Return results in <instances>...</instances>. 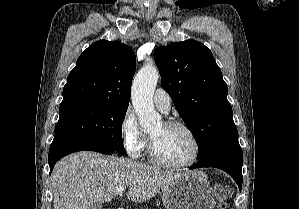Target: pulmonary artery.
<instances>
[{
  "mask_svg": "<svg viewBox=\"0 0 299 209\" xmlns=\"http://www.w3.org/2000/svg\"><path fill=\"white\" fill-rule=\"evenodd\" d=\"M153 102L161 112H169L171 107V97L165 90L158 88L153 94Z\"/></svg>",
  "mask_w": 299,
  "mask_h": 209,
  "instance_id": "1",
  "label": "pulmonary artery"
}]
</instances>
